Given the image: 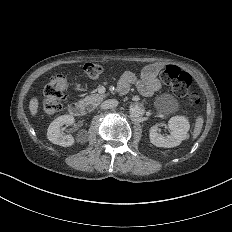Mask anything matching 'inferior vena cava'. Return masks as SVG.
Masks as SVG:
<instances>
[{
	"mask_svg": "<svg viewBox=\"0 0 232 232\" xmlns=\"http://www.w3.org/2000/svg\"><path fill=\"white\" fill-rule=\"evenodd\" d=\"M118 101L116 99H108L101 104L102 109H112L117 107Z\"/></svg>",
	"mask_w": 232,
	"mask_h": 232,
	"instance_id": "602c4592",
	"label": "inferior vena cava"
}]
</instances>
